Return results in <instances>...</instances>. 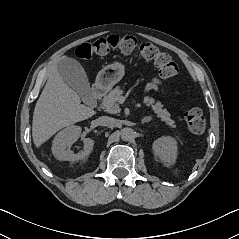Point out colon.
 <instances>
[{
	"label": "colon",
	"instance_id": "1",
	"mask_svg": "<svg viewBox=\"0 0 239 239\" xmlns=\"http://www.w3.org/2000/svg\"><path fill=\"white\" fill-rule=\"evenodd\" d=\"M138 44L131 36H109L98 39L91 43L81 44L76 49V55L80 59L89 60L95 55H104L110 51H120L125 54L132 53ZM139 53L142 59L151 61L157 67L160 75L164 78L177 76L179 68L172 58L151 43L139 45ZM188 127L194 133H202L205 129V118L198 108H191L185 113Z\"/></svg>",
	"mask_w": 239,
	"mask_h": 239
}]
</instances>
